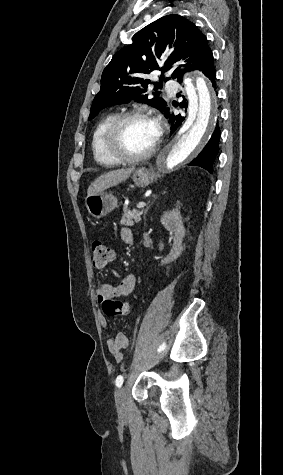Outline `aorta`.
Returning a JSON list of instances; mask_svg holds the SVG:
<instances>
[{
	"instance_id": "762f6f07",
	"label": "aorta",
	"mask_w": 283,
	"mask_h": 475,
	"mask_svg": "<svg viewBox=\"0 0 283 475\" xmlns=\"http://www.w3.org/2000/svg\"><path fill=\"white\" fill-rule=\"evenodd\" d=\"M188 97V117L172 140L157 156V167L170 172L194 158L205 146L217 119L214 90L201 76H196L195 86L185 80Z\"/></svg>"
}]
</instances>
